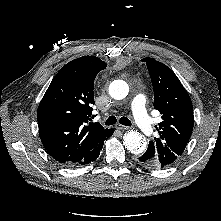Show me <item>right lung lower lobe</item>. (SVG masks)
<instances>
[{
	"label": "right lung lower lobe",
	"instance_id": "right-lung-lower-lobe-1",
	"mask_svg": "<svg viewBox=\"0 0 221 221\" xmlns=\"http://www.w3.org/2000/svg\"><path fill=\"white\" fill-rule=\"evenodd\" d=\"M113 134V129H107L103 138L99 142V144L90 150L80 161L74 164H69V166H78V165H85L89 164L92 161L96 160L100 154V150H102L104 140L108 139Z\"/></svg>",
	"mask_w": 221,
	"mask_h": 221
}]
</instances>
